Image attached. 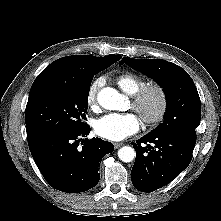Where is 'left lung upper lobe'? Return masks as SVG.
<instances>
[{"label":"left lung upper lobe","mask_w":221,"mask_h":221,"mask_svg":"<svg viewBox=\"0 0 221 221\" xmlns=\"http://www.w3.org/2000/svg\"><path fill=\"white\" fill-rule=\"evenodd\" d=\"M128 66L152 77L163 88L167 98L164 121L151 134H178L196 139L200 124L201 101L197 88L180 66L162 59L124 57L120 65Z\"/></svg>","instance_id":"left-lung-upper-lobe-1"}]
</instances>
